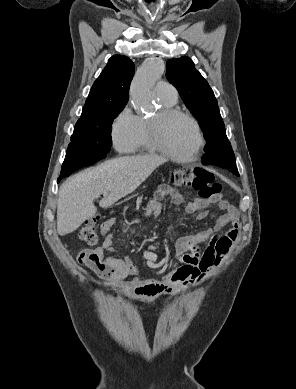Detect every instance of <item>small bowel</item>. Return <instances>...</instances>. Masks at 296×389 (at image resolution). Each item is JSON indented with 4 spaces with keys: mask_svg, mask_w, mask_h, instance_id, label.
I'll list each match as a JSON object with an SVG mask.
<instances>
[{
    "mask_svg": "<svg viewBox=\"0 0 296 389\" xmlns=\"http://www.w3.org/2000/svg\"><path fill=\"white\" fill-rule=\"evenodd\" d=\"M164 197H169L174 205L184 203V197L179 191L168 185H161L156 190L155 196L148 202L146 211L153 216L159 215L161 200ZM216 201L223 214L219 216L213 228L178 238L174 242V249L179 265H175L161 281L147 282L136 287L134 295L138 300L149 302L162 295L176 296L189 286L201 281L215 266L220 264L238 240L239 214L237 209L226 200L219 198ZM209 202L195 198L185 204V211L189 214L199 212L203 217ZM115 224L114 219L107 220L102 226L103 234H108ZM227 226L229 227L224 230ZM114 237L113 234L108 235L102 246L96 249H86L79 255L80 263L105 280L110 289L135 272L129 259L108 255V253L116 252L113 247Z\"/></svg>",
    "mask_w": 296,
    "mask_h": 389,
    "instance_id": "1",
    "label": "small bowel"
}]
</instances>
